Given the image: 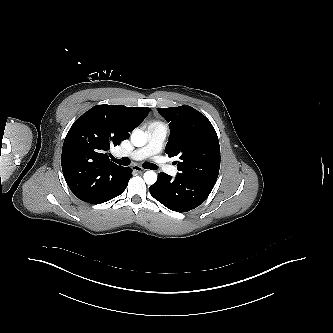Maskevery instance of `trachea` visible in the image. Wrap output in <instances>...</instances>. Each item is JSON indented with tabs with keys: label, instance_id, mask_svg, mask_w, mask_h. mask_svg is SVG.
Instances as JSON below:
<instances>
[{
	"label": "trachea",
	"instance_id": "3493384b",
	"mask_svg": "<svg viewBox=\"0 0 333 333\" xmlns=\"http://www.w3.org/2000/svg\"><path fill=\"white\" fill-rule=\"evenodd\" d=\"M111 159H112L113 162H115L117 164H120V165H123V166H128L131 163V161L128 157H123L122 159H117L115 157H112ZM143 167L145 169H151V170H156L158 168L153 163H144Z\"/></svg>",
	"mask_w": 333,
	"mask_h": 333
}]
</instances>
